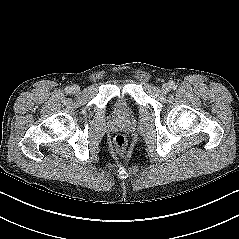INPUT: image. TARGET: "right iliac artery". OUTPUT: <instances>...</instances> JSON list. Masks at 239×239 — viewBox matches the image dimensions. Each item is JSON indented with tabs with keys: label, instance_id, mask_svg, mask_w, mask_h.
Returning <instances> with one entry per match:
<instances>
[{
	"label": "right iliac artery",
	"instance_id": "1",
	"mask_svg": "<svg viewBox=\"0 0 239 239\" xmlns=\"http://www.w3.org/2000/svg\"><path fill=\"white\" fill-rule=\"evenodd\" d=\"M65 92L66 93H71L72 92V88L71 87H66Z\"/></svg>",
	"mask_w": 239,
	"mask_h": 239
}]
</instances>
